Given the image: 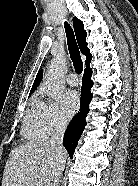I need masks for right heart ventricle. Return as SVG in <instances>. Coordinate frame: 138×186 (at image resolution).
Here are the masks:
<instances>
[{"mask_svg": "<svg viewBox=\"0 0 138 186\" xmlns=\"http://www.w3.org/2000/svg\"><path fill=\"white\" fill-rule=\"evenodd\" d=\"M45 104L35 95L30 102L28 111L22 125V134L29 141L44 140L48 133L43 124Z\"/></svg>", "mask_w": 138, "mask_h": 186, "instance_id": "right-heart-ventricle-1", "label": "right heart ventricle"}]
</instances>
